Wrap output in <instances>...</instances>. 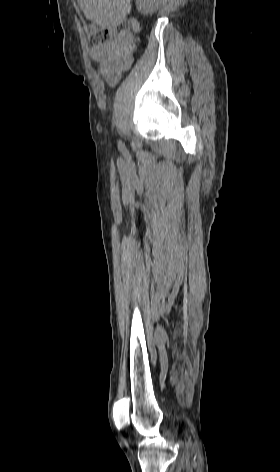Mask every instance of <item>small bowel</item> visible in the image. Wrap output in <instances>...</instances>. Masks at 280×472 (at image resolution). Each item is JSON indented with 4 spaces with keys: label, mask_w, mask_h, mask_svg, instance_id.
I'll return each instance as SVG.
<instances>
[{
    "label": "small bowel",
    "mask_w": 280,
    "mask_h": 472,
    "mask_svg": "<svg viewBox=\"0 0 280 472\" xmlns=\"http://www.w3.org/2000/svg\"><path fill=\"white\" fill-rule=\"evenodd\" d=\"M130 24L133 33H127L108 45L91 48V57L98 62L100 74L109 86L116 85L121 79V71L129 68L132 63V56L137 46L134 33L140 30V26L134 19L130 21ZM123 60L128 61L125 68L120 67Z\"/></svg>",
    "instance_id": "c3829d8e"
}]
</instances>
